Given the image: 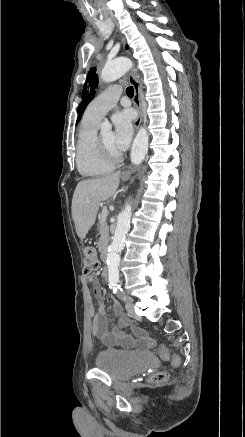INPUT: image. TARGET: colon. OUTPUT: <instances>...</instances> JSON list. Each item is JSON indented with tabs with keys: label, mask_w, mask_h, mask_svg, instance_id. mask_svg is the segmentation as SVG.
<instances>
[{
	"label": "colon",
	"mask_w": 245,
	"mask_h": 437,
	"mask_svg": "<svg viewBox=\"0 0 245 437\" xmlns=\"http://www.w3.org/2000/svg\"><path fill=\"white\" fill-rule=\"evenodd\" d=\"M99 268V262L96 256V251L92 247H87L84 251V269L88 274L96 272ZM162 359L168 360L170 358L169 350L166 346L160 345L154 350ZM172 364L178 366L180 359L177 355H172ZM168 374L159 372L152 377L154 382H163L167 380Z\"/></svg>",
	"instance_id": "colon-1"
}]
</instances>
